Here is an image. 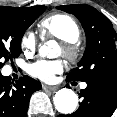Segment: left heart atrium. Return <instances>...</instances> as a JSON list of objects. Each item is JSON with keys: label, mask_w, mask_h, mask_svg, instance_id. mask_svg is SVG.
<instances>
[{"label": "left heart atrium", "mask_w": 117, "mask_h": 117, "mask_svg": "<svg viewBox=\"0 0 117 117\" xmlns=\"http://www.w3.org/2000/svg\"><path fill=\"white\" fill-rule=\"evenodd\" d=\"M65 65V61L61 59H41L29 65L28 73L43 82L51 83L55 81L56 75L63 72Z\"/></svg>", "instance_id": "39dd6f15"}]
</instances>
